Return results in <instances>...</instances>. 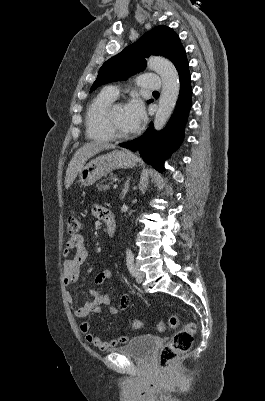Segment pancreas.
<instances>
[{
	"label": "pancreas",
	"mask_w": 265,
	"mask_h": 401,
	"mask_svg": "<svg viewBox=\"0 0 265 401\" xmlns=\"http://www.w3.org/2000/svg\"><path fill=\"white\" fill-rule=\"evenodd\" d=\"M114 178H117L116 174H108L106 178L101 180V184H97L99 190H109L110 184H112ZM107 180H110V182H107Z\"/></svg>",
	"instance_id": "pancreas-1"
}]
</instances>
